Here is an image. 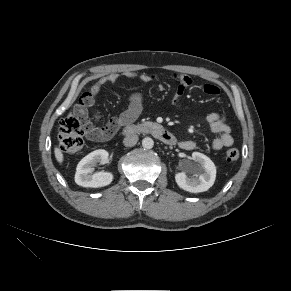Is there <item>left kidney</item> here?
<instances>
[{"instance_id": "5707ae66", "label": "left kidney", "mask_w": 291, "mask_h": 291, "mask_svg": "<svg viewBox=\"0 0 291 291\" xmlns=\"http://www.w3.org/2000/svg\"><path fill=\"white\" fill-rule=\"evenodd\" d=\"M192 160L196 162L191 166L194 173L188 177L185 172H179L175 175L177 185L188 192L199 193L207 191L216 178V167L212 160L200 152L192 153Z\"/></svg>"}]
</instances>
